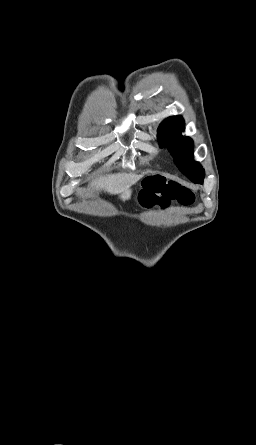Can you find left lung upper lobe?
<instances>
[{
	"mask_svg": "<svg viewBox=\"0 0 256 445\" xmlns=\"http://www.w3.org/2000/svg\"><path fill=\"white\" fill-rule=\"evenodd\" d=\"M184 120L181 116H171L164 120L158 128L160 147H167L173 154L175 163L192 182L203 183L205 176L202 166L194 161L193 141L183 137Z\"/></svg>",
	"mask_w": 256,
	"mask_h": 445,
	"instance_id": "1",
	"label": "left lung upper lobe"
}]
</instances>
